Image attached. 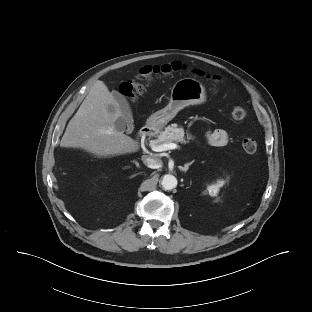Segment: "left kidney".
Returning <instances> with one entry per match:
<instances>
[{
  "mask_svg": "<svg viewBox=\"0 0 312 312\" xmlns=\"http://www.w3.org/2000/svg\"><path fill=\"white\" fill-rule=\"evenodd\" d=\"M224 181L218 180L217 183L208 186L207 190L210 196H217L219 188L223 186Z\"/></svg>",
  "mask_w": 312,
  "mask_h": 312,
  "instance_id": "obj_1",
  "label": "left kidney"
}]
</instances>
